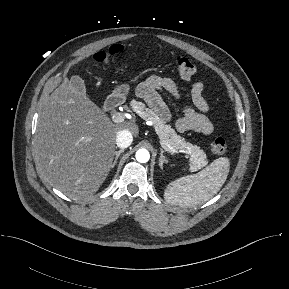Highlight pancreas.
<instances>
[{
	"mask_svg": "<svg viewBox=\"0 0 289 289\" xmlns=\"http://www.w3.org/2000/svg\"><path fill=\"white\" fill-rule=\"evenodd\" d=\"M131 106L144 120H149L153 123L161 141L168 144L172 150L189 155V170L197 171L207 164L206 154L200 147L192 145L177 135L171 125L160 118L153 110L147 108L145 104L137 101H132Z\"/></svg>",
	"mask_w": 289,
	"mask_h": 289,
	"instance_id": "obj_1",
	"label": "pancreas"
}]
</instances>
